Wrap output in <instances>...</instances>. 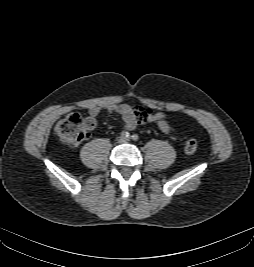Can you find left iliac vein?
I'll list each match as a JSON object with an SVG mask.
<instances>
[{
    "instance_id": "1",
    "label": "left iliac vein",
    "mask_w": 254,
    "mask_h": 267,
    "mask_svg": "<svg viewBox=\"0 0 254 267\" xmlns=\"http://www.w3.org/2000/svg\"><path fill=\"white\" fill-rule=\"evenodd\" d=\"M128 141H129V139H127V138L123 139V142H128Z\"/></svg>"
}]
</instances>
